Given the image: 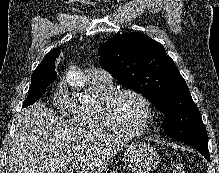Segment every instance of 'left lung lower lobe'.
Returning a JSON list of instances; mask_svg holds the SVG:
<instances>
[{
  "mask_svg": "<svg viewBox=\"0 0 219 173\" xmlns=\"http://www.w3.org/2000/svg\"><path fill=\"white\" fill-rule=\"evenodd\" d=\"M196 148L208 161H210L208 145L200 144L197 142H185Z\"/></svg>",
  "mask_w": 219,
  "mask_h": 173,
  "instance_id": "0a47b994",
  "label": "left lung lower lobe"
}]
</instances>
